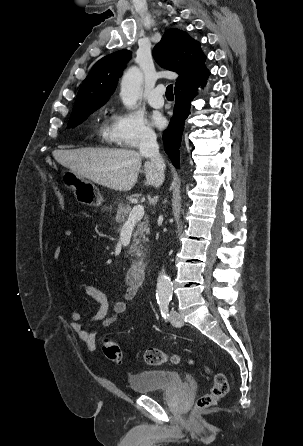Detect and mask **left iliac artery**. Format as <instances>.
<instances>
[{"instance_id": "left-iliac-artery-1", "label": "left iliac artery", "mask_w": 303, "mask_h": 446, "mask_svg": "<svg viewBox=\"0 0 303 446\" xmlns=\"http://www.w3.org/2000/svg\"><path fill=\"white\" fill-rule=\"evenodd\" d=\"M169 302H170V300H168V299H162V300L158 301L161 315L165 320H168V318H169V313H168Z\"/></svg>"}]
</instances>
